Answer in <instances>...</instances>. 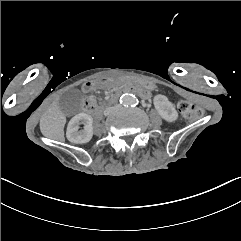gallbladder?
I'll return each mask as SVG.
<instances>
[{
	"instance_id": "gallbladder-1",
	"label": "gallbladder",
	"mask_w": 241,
	"mask_h": 241,
	"mask_svg": "<svg viewBox=\"0 0 241 241\" xmlns=\"http://www.w3.org/2000/svg\"><path fill=\"white\" fill-rule=\"evenodd\" d=\"M82 93L76 89H70L59 99V107L62 114L66 117L77 115L82 106Z\"/></svg>"
}]
</instances>
